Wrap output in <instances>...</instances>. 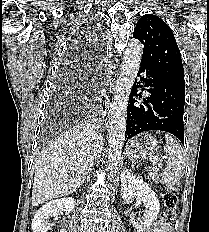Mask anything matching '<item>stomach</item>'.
Wrapping results in <instances>:
<instances>
[{"label":"stomach","mask_w":209,"mask_h":232,"mask_svg":"<svg viewBox=\"0 0 209 232\" xmlns=\"http://www.w3.org/2000/svg\"><path fill=\"white\" fill-rule=\"evenodd\" d=\"M158 141L148 133L134 137L125 146V152L132 159H146L153 156L158 150Z\"/></svg>","instance_id":"stomach-1"}]
</instances>
